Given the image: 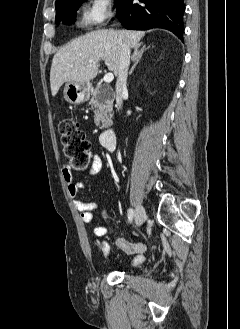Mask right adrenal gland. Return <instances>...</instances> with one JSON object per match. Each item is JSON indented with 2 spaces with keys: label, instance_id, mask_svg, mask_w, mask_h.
<instances>
[{
  "label": "right adrenal gland",
  "instance_id": "right-adrenal-gland-1",
  "mask_svg": "<svg viewBox=\"0 0 240 329\" xmlns=\"http://www.w3.org/2000/svg\"><path fill=\"white\" fill-rule=\"evenodd\" d=\"M150 47H146V45H144L142 47V49H138V48H135L134 49V52H133V55H132V61H135L134 65L132 66V68L130 69L129 71V75H131L136 67V65L139 63L144 51H146L147 49H149Z\"/></svg>",
  "mask_w": 240,
  "mask_h": 329
}]
</instances>
